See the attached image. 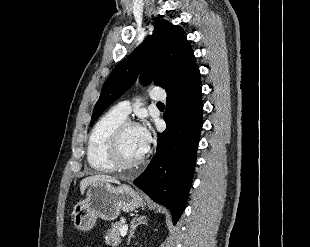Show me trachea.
<instances>
[{"label":"trachea","mask_w":310,"mask_h":247,"mask_svg":"<svg viewBox=\"0 0 310 247\" xmlns=\"http://www.w3.org/2000/svg\"><path fill=\"white\" fill-rule=\"evenodd\" d=\"M157 105H163V103L162 102H158Z\"/></svg>","instance_id":"obj_1"}]
</instances>
